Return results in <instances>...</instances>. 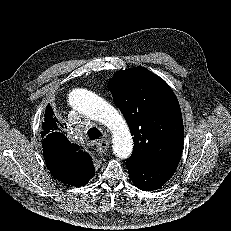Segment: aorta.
Segmentation results:
<instances>
[{
  "label": "aorta",
  "mask_w": 231,
  "mask_h": 231,
  "mask_svg": "<svg viewBox=\"0 0 231 231\" xmlns=\"http://www.w3.org/2000/svg\"><path fill=\"white\" fill-rule=\"evenodd\" d=\"M72 108L86 117L104 125L113 136V151L121 159L128 158L133 149L129 127L112 105L97 94L82 88L73 89L68 95Z\"/></svg>",
  "instance_id": "762f6f07"
}]
</instances>
